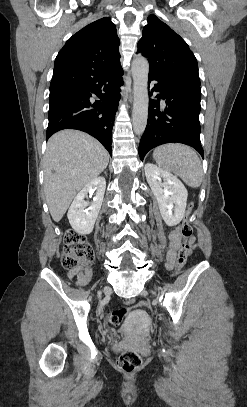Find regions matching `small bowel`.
<instances>
[{
    "label": "small bowel",
    "instance_id": "1",
    "mask_svg": "<svg viewBox=\"0 0 247 407\" xmlns=\"http://www.w3.org/2000/svg\"><path fill=\"white\" fill-rule=\"evenodd\" d=\"M181 243V236L179 229H175L169 235V248L166 254V265L172 269L175 263L176 251ZM190 245L194 243V238L189 239ZM69 279H75L76 283L80 286L86 285L92 277V270L89 267H77L67 271Z\"/></svg>",
    "mask_w": 247,
    "mask_h": 407
}]
</instances>
